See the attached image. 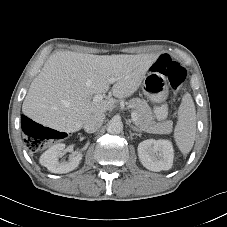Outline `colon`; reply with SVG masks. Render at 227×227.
Masks as SVG:
<instances>
[{
	"label": "colon",
	"mask_w": 227,
	"mask_h": 227,
	"mask_svg": "<svg viewBox=\"0 0 227 227\" xmlns=\"http://www.w3.org/2000/svg\"><path fill=\"white\" fill-rule=\"evenodd\" d=\"M152 70L168 79L175 94L178 92L187 76L186 69L166 54L161 55L155 61ZM25 131L28 135V148L31 150H38L43 146L44 141L55 138V132L53 130L32 121L26 122Z\"/></svg>",
	"instance_id": "1"
}]
</instances>
